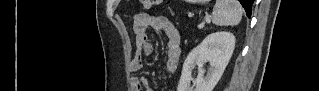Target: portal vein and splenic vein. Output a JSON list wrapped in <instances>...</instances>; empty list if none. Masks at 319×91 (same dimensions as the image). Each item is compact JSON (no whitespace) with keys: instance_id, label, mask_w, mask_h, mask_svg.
I'll return each mask as SVG.
<instances>
[{"instance_id":"18ae733b","label":"portal vein and splenic vein","mask_w":319,"mask_h":91,"mask_svg":"<svg viewBox=\"0 0 319 91\" xmlns=\"http://www.w3.org/2000/svg\"><path fill=\"white\" fill-rule=\"evenodd\" d=\"M205 20H206V22H209V21H210V18H209V17H206Z\"/></svg>"}]
</instances>
